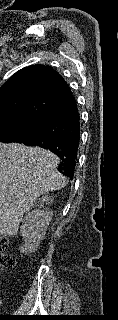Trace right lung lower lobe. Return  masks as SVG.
Segmentation results:
<instances>
[{
    "label": "right lung lower lobe",
    "mask_w": 118,
    "mask_h": 320,
    "mask_svg": "<svg viewBox=\"0 0 118 320\" xmlns=\"http://www.w3.org/2000/svg\"><path fill=\"white\" fill-rule=\"evenodd\" d=\"M79 120L77 103L73 98L53 112L40 132L32 134L20 143L37 145L57 154L64 162V174L72 176L80 138Z\"/></svg>",
    "instance_id": "obj_1"
}]
</instances>
